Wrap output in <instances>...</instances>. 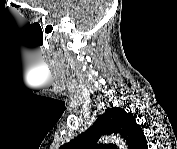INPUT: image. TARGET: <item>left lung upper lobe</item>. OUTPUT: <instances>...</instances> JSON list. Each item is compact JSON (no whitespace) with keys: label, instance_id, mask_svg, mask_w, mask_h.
I'll return each mask as SVG.
<instances>
[{"label":"left lung upper lobe","instance_id":"obj_1","mask_svg":"<svg viewBox=\"0 0 177 149\" xmlns=\"http://www.w3.org/2000/svg\"><path fill=\"white\" fill-rule=\"evenodd\" d=\"M120 134L131 149H140L145 138L142 128L135 117L118 107L107 108L103 116H99L94 124L85 132L61 146V149H114L116 145H97L96 142L104 134Z\"/></svg>","mask_w":177,"mask_h":149}]
</instances>
